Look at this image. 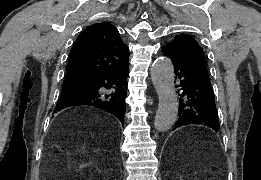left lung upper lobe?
I'll use <instances>...</instances> for the list:
<instances>
[{
	"instance_id": "1",
	"label": "left lung upper lobe",
	"mask_w": 261,
	"mask_h": 180,
	"mask_svg": "<svg viewBox=\"0 0 261 180\" xmlns=\"http://www.w3.org/2000/svg\"><path fill=\"white\" fill-rule=\"evenodd\" d=\"M166 46L172 48L175 53L185 61L207 73L205 56L201 47L193 37L185 34L177 35L175 39Z\"/></svg>"
}]
</instances>
